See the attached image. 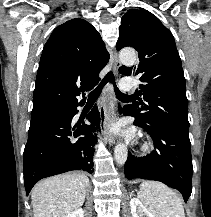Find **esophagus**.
<instances>
[{
  "label": "esophagus",
  "mask_w": 211,
  "mask_h": 217,
  "mask_svg": "<svg viewBox=\"0 0 211 217\" xmlns=\"http://www.w3.org/2000/svg\"><path fill=\"white\" fill-rule=\"evenodd\" d=\"M111 62L113 63L114 66V72L117 73L119 67L121 66V62L119 60L118 53L116 50H114L111 54ZM110 90H111V85L107 84L101 96L100 118H101L102 132L104 138L110 145H113L115 143V138L110 130V113L107 105V100L109 97Z\"/></svg>",
  "instance_id": "obj_1"
}]
</instances>
